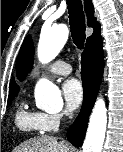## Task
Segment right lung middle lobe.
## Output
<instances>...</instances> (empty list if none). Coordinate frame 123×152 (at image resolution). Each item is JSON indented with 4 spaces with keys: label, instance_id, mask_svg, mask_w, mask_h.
Returning a JSON list of instances; mask_svg holds the SVG:
<instances>
[{
    "label": "right lung middle lobe",
    "instance_id": "dd1d6c3e",
    "mask_svg": "<svg viewBox=\"0 0 123 152\" xmlns=\"http://www.w3.org/2000/svg\"><path fill=\"white\" fill-rule=\"evenodd\" d=\"M17 93H14V94H10L9 97H8V104L11 103V101L13 100V98L16 96Z\"/></svg>",
    "mask_w": 123,
    "mask_h": 152
}]
</instances>
